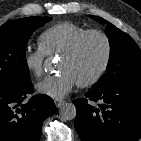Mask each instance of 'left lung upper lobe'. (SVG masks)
<instances>
[{
  "mask_svg": "<svg viewBox=\"0 0 141 141\" xmlns=\"http://www.w3.org/2000/svg\"><path fill=\"white\" fill-rule=\"evenodd\" d=\"M89 16L107 25L106 34L110 43L106 72L91 88L100 89L122 81L141 80V51L135 41L103 18Z\"/></svg>",
  "mask_w": 141,
  "mask_h": 141,
  "instance_id": "left-lung-upper-lobe-1",
  "label": "left lung upper lobe"
}]
</instances>
